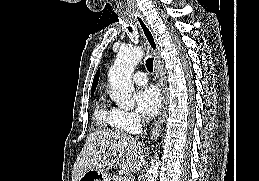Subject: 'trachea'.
I'll return each mask as SVG.
<instances>
[{
    "label": "trachea",
    "instance_id": "1",
    "mask_svg": "<svg viewBox=\"0 0 259 181\" xmlns=\"http://www.w3.org/2000/svg\"><path fill=\"white\" fill-rule=\"evenodd\" d=\"M128 30L132 33L133 32V29H132V27H128ZM153 58H148L147 60H146V67H147V69H148V71L149 72H153Z\"/></svg>",
    "mask_w": 259,
    "mask_h": 181
}]
</instances>
